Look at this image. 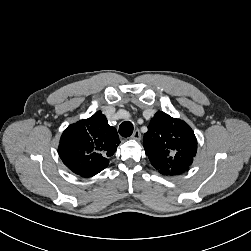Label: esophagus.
Here are the masks:
<instances>
[{
  "mask_svg": "<svg viewBox=\"0 0 251 251\" xmlns=\"http://www.w3.org/2000/svg\"><path fill=\"white\" fill-rule=\"evenodd\" d=\"M130 138L139 141L141 139L140 131L135 130Z\"/></svg>",
  "mask_w": 251,
  "mask_h": 251,
  "instance_id": "obj_1",
  "label": "esophagus"
}]
</instances>
